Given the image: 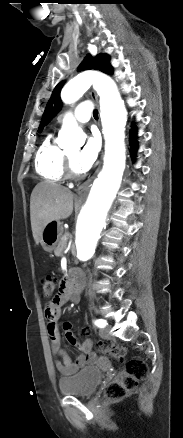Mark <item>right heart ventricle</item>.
<instances>
[{"mask_svg":"<svg viewBox=\"0 0 183 438\" xmlns=\"http://www.w3.org/2000/svg\"><path fill=\"white\" fill-rule=\"evenodd\" d=\"M36 171L47 181L61 182L65 178V153L52 140L47 137L39 147L36 154Z\"/></svg>","mask_w":183,"mask_h":438,"instance_id":"obj_1","label":"right heart ventricle"}]
</instances>
